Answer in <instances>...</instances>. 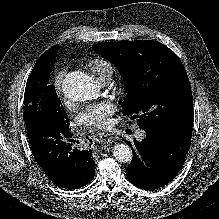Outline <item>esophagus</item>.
<instances>
[{
	"label": "esophagus",
	"instance_id": "1",
	"mask_svg": "<svg viewBox=\"0 0 219 219\" xmlns=\"http://www.w3.org/2000/svg\"><path fill=\"white\" fill-rule=\"evenodd\" d=\"M96 137L98 139V141L100 142H111L112 141V136H110V134L106 133V132H98L96 134Z\"/></svg>",
	"mask_w": 219,
	"mask_h": 219
}]
</instances>
